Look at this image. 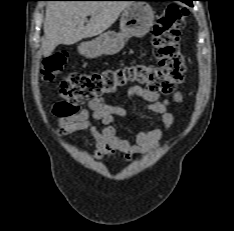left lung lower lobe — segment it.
<instances>
[{
  "label": "left lung lower lobe",
  "instance_id": "1",
  "mask_svg": "<svg viewBox=\"0 0 234 231\" xmlns=\"http://www.w3.org/2000/svg\"><path fill=\"white\" fill-rule=\"evenodd\" d=\"M146 1H158V0H146ZM179 1H182L189 6H192V1H195V0H179Z\"/></svg>",
  "mask_w": 234,
  "mask_h": 231
}]
</instances>
